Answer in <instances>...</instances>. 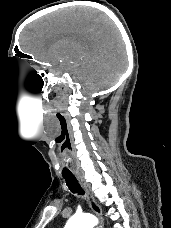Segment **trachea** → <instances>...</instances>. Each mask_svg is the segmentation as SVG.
<instances>
[{
    "label": "trachea",
    "mask_w": 171,
    "mask_h": 228,
    "mask_svg": "<svg viewBox=\"0 0 171 228\" xmlns=\"http://www.w3.org/2000/svg\"><path fill=\"white\" fill-rule=\"evenodd\" d=\"M63 178L66 181V184L70 191L74 194L84 195V190L81 188V186L78 184L77 179L75 176H63Z\"/></svg>",
    "instance_id": "3493384b"
}]
</instances>
